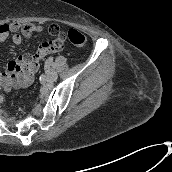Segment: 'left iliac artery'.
Listing matches in <instances>:
<instances>
[{"label":"left iliac artery","instance_id":"1","mask_svg":"<svg viewBox=\"0 0 172 172\" xmlns=\"http://www.w3.org/2000/svg\"><path fill=\"white\" fill-rule=\"evenodd\" d=\"M52 61H53V58H52V57H49V58H48V63H50V64H51V63H52Z\"/></svg>","mask_w":172,"mask_h":172}]
</instances>
